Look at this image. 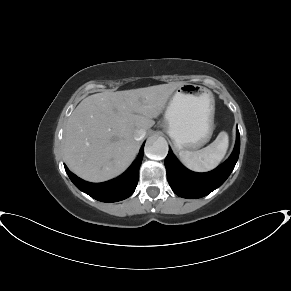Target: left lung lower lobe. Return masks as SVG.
<instances>
[{
  "label": "left lung lower lobe",
  "instance_id": "0a47b994",
  "mask_svg": "<svg viewBox=\"0 0 291 291\" xmlns=\"http://www.w3.org/2000/svg\"><path fill=\"white\" fill-rule=\"evenodd\" d=\"M239 151L240 134L237 128L236 144L229 159L210 172L196 173L185 168L169 148V153L165 159V167L171 189L178 196L189 199L208 195L229 177L238 160Z\"/></svg>",
  "mask_w": 291,
  "mask_h": 291
}]
</instances>
